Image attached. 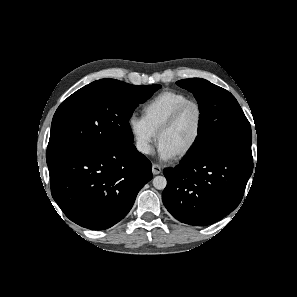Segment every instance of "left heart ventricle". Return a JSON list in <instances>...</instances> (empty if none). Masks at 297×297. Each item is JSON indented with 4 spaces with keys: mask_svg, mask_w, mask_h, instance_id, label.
I'll return each instance as SVG.
<instances>
[{
    "mask_svg": "<svg viewBox=\"0 0 297 297\" xmlns=\"http://www.w3.org/2000/svg\"><path fill=\"white\" fill-rule=\"evenodd\" d=\"M197 128L198 113L194 107H190L184 112L179 121L161 136L159 142L177 155L192 142Z\"/></svg>",
    "mask_w": 297,
    "mask_h": 297,
    "instance_id": "1",
    "label": "left heart ventricle"
}]
</instances>
